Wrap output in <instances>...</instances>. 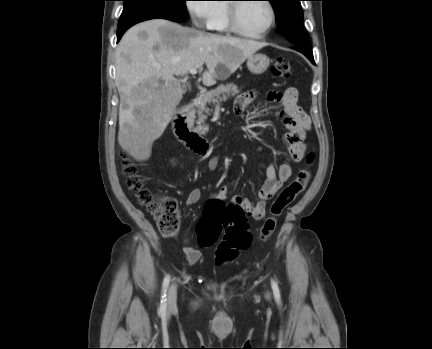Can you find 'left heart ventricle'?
Returning a JSON list of instances; mask_svg holds the SVG:
<instances>
[{
  "instance_id": "1",
  "label": "left heart ventricle",
  "mask_w": 432,
  "mask_h": 349,
  "mask_svg": "<svg viewBox=\"0 0 432 349\" xmlns=\"http://www.w3.org/2000/svg\"><path fill=\"white\" fill-rule=\"evenodd\" d=\"M270 10L264 2L243 3L238 8L239 24L247 32L260 33L270 22Z\"/></svg>"
}]
</instances>
